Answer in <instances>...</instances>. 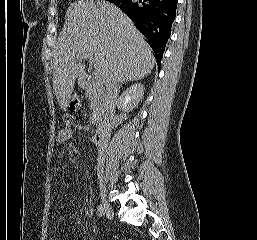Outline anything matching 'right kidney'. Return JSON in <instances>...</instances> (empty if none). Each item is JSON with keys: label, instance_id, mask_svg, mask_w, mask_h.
<instances>
[{"label": "right kidney", "instance_id": "1", "mask_svg": "<svg viewBox=\"0 0 257 240\" xmlns=\"http://www.w3.org/2000/svg\"><path fill=\"white\" fill-rule=\"evenodd\" d=\"M143 94L144 85L136 83L122 93L117 101V107L124 112H130L138 106Z\"/></svg>", "mask_w": 257, "mask_h": 240}]
</instances>
